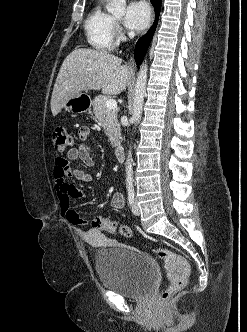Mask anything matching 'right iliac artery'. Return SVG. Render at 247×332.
<instances>
[{
  "instance_id": "right-iliac-artery-1",
  "label": "right iliac artery",
  "mask_w": 247,
  "mask_h": 332,
  "mask_svg": "<svg viewBox=\"0 0 247 332\" xmlns=\"http://www.w3.org/2000/svg\"><path fill=\"white\" fill-rule=\"evenodd\" d=\"M134 191H128V204L131 206L134 203Z\"/></svg>"
}]
</instances>
